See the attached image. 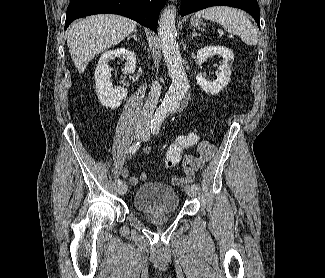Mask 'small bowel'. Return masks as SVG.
I'll return each mask as SVG.
<instances>
[{
	"mask_svg": "<svg viewBox=\"0 0 325 278\" xmlns=\"http://www.w3.org/2000/svg\"><path fill=\"white\" fill-rule=\"evenodd\" d=\"M187 137L195 139L193 145H196V152L185 157V176L181 178L173 177L171 179L173 184L182 185L186 182L192 181L194 179L193 171L198 169L201 165L209 162L216 152V146L209 141H197L196 135L193 133L189 134ZM150 151L151 149L149 147L143 149V153L145 154H148ZM121 175L124 178H128L131 185H137L140 181H145L148 178L146 173H142L139 177L130 176V171L127 167L121 170Z\"/></svg>",
	"mask_w": 325,
	"mask_h": 278,
	"instance_id": "obj_1",
	"label": "small bowel"
}]
</instances>
